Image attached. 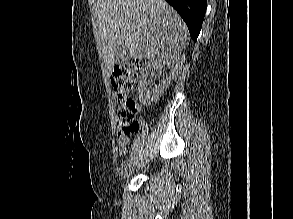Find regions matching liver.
<instances>
[{"mask_svg":"<svg viewBox=\"0 0 293 219\" xmlns=\"http://www.w3.org/2000/svg\"><path fill=\"white\" fill-rule=\"evenodd\" d=\"M94 18L97 49L109 75L121 44L133 59H154L181 52L187 40L185 23L164 0H97Z\"/></svg>","mask_w":293,"mask_h":219,"instance_id":"1","label":"liver"}]
</instances>
